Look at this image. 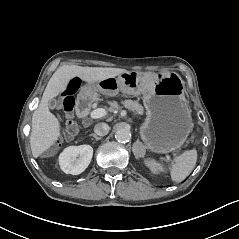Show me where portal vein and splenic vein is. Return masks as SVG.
I'll return each mask as SVG.
<instances>
[{"instance_id": "1", "label": "portal vein and splenic vein", "mask_w": 239, "mask_h": 239, "mask_svg": "<svg viewBox=\"0 0 239 239\" xmlns=\"http://www.w3.org/2000/svg\"><path fill=\"white\" fill-rule=\"evenodd\" d=\"M104 114H105V111L103 110V109H101V108H98V109H95V110H93V111H91L90 112V114H89V117L91 118V119H97V118H101L102 116H104ZM170 155H166V160H168L169 162H175L174 160H173V158L171 157Z\"/></svg>"}]
</instances>
